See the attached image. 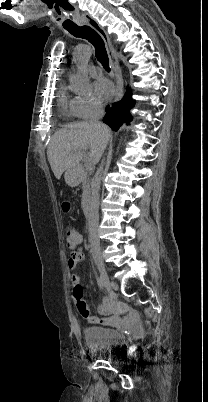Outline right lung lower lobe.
Returning <instances> with one entry per match:
<instances>
[{"label": "right lung lower lobe", "mask_w": 208, "mask_h": 402, "mask_svg": "<svg viewBox=\"0 0 208 402\" xmlns=\"http://www.w3.org/2000/svg\"><path fill=\"white\" fill-rule=\"evenodd\" d=\"M134 105L131 100V89L127 87L125 96L120 102L114 103L111 107H106V114L103 122L117 131L122 123H129L132 120L129 110Z\"/></svg>", "instance_id": "1"}]
</instances>
